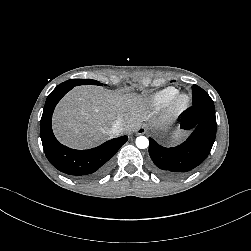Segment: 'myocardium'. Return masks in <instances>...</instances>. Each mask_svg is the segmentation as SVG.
I'll return each mask as SVG.
<instances>
[{
    "instance_id": "myocardium-1",
    "label": "myocardium",
    "mask_w": 251,
    "mask_h": 251,
    "mask_svg": "<svg viewBox=\"0 0 251 251\" xmlns=\"http://www.w3.org/2000/svg\"><path fill=\"white\" fill-rule=\"evenodd\" d=\"M190 98L186 93H175L166 104V116L177 118L189 105Z\"/></svg>"
}]
</instances>
